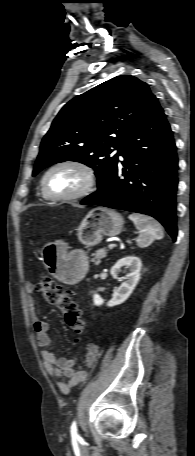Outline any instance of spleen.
<instances>
[{"instance_id": "1", "label": "spleen", "mask_w": 195, "mask_h": 456, "mask_svg": "<svg viewBox=\"0 0 195 456\" xmlns=\"http://www.w3.org/2000/svg\"><path fill=\"white\" fill-rule=\"evenodd\" d=\"M128 218L133 221L139 231V235L136 239L139 247H147L155 239L163 238L164 233L162 227L155 219L136 213L130 214Z\"/></svg>"}]
</instances>
